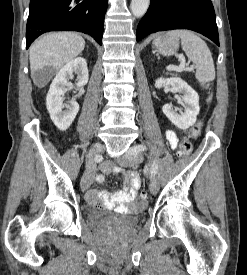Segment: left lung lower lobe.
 <instances>
[{
    "label": "left lung lower lobe",
    "mask_w": 247,
    "mask_h": 275,
    "mask_svg": "<svg viewBox=\"0 0 247 275\" xmlns=\"http://www.w3.org/2000/svg\"><path fill=\"white\" fill-rule=\"evenodd\" d=\"M189 29L219 46L218 29L211 0H151L137 27V41L150 33Z\"/></svg>",
    "instance_id": "0a47b994"
}]
</instances>
